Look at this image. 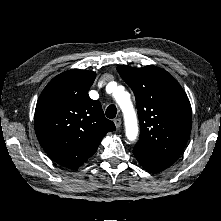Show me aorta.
Returning <instances> with one entry per match:
<instances>
[{"mask_svg":"<svg viewBox=\"0 0 221 221\" xmlns=\"http://www.w3.org/2000/svg\"><path fill=\"white\" fill-rule=\"evenodd\" d=\"M124 93L118 95L116 97V100L118 104L122 107L126 119H127V125H126V137L129 141H135L138 137V126L136 122V118L132 111V106L129 99H123Z\"/></svg>","mask_w":221,"mask_h":221,"instance_id":"aorta-1","label":"aorta"}]
</instances>
